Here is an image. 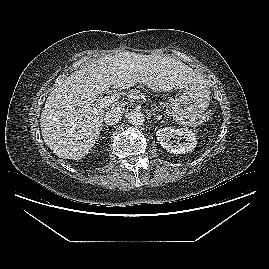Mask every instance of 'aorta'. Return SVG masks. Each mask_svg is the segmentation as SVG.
Segmentation results:
<instances>
[{
    "label": "aorta",
    "mask_w": 269,
    "mask_h": 269,
    "mask_svg": "<svg viewBox=\"0 0 269 269\" xmlns=\"http://www.w3.org/2000/svg\"><path fill=\"white\" fill-rule=\"evenodd\" d=\"M127 118L132 125H142L145 121L144 114L138 110H133L128 113Z\"/></svg>",
    "instance_id": "aorta-1"
}]
</instances>
